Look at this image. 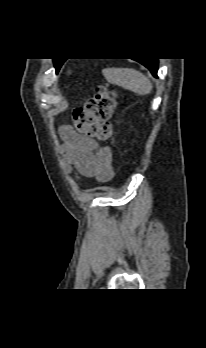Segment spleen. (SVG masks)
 I'll return each mask as SVG.
<instances>
[{
    "instance_id": "obj_1",
    "label": "spleen",
    "mask_w": 206,
    "mask_h": 348,
    "mask_svg": "<svg viewBox=\"0 0 206 348\" xmlns=\"http://www.w3.org/2000/svg\"><path fill=\"white\" fill-rule=\"evenodd\" d=\"M103 74L109 83L138 95H147L153 88L148 77L133 68H109L105 69Z\"/></svg>"
}]
</instances>
